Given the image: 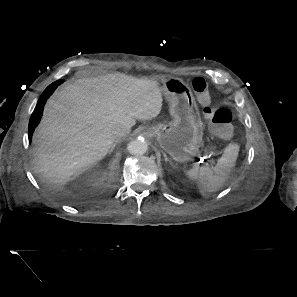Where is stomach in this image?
I'll use <instances>...</instances> for the list:
<instances>
[{
    "instance_id": "1",
    "label": "stomach",
    "mask_w": 297,
    "mask_h": 297,
    "mask_svg": "<svg viewBox=\"0 0 297 297\" xmlns=\"http://www.w3.org/2000/svg\"><path fill=\"white\" fill-rule=\"evenodd\" d=\"M172 121L149 129L161 149L179 163L191 161L203 146V123L190 87L177 78L162 80Z\"/></svg>"
}]
</instances>
